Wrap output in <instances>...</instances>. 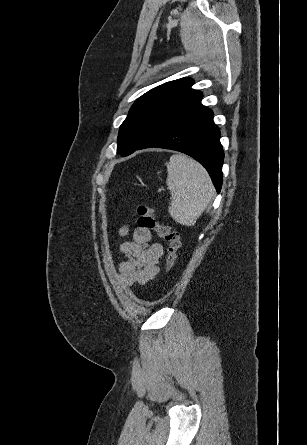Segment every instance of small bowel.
<instances>
[{"label":"small bowel","instance_id":"obj_1","mask_svg":"<svg viewBox=\"0 0 307 445\" xmlns=\"http://www.w3.org/2000/svg\"><path fill=\"white\" fill-rule=\"evenodd\" d=\"M128 233L127 225L120 229L122 238ZM119 248L125 259L119 263L118 270L125 285H145L156 278L164 251L162 244L154 241L149 230L137 227L133 239L123 241Z\"/></svg>","mask_w":307,"mask_h":445}]
</instances>
